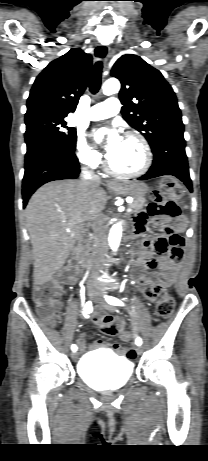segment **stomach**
<instances>
[{
  "label": "stomach",
  "instance_id": "stomach-1",
  "mask_svg": "<svg viewBox=\"0 0 208 461\" xmlns=\"http://www.w3.org/2000/svg\"><path fill=\"white\" fill-rule=\"evenodd\" d=\"M111 189L121 195H130L134 199L143 198L149 191V187L144 182H120L114 184Z\"/></svg>",
  "mask_w": 208,
  "mask_h": 461
}]
</instances>
